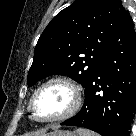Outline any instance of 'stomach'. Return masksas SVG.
<instances>
[{"label":"stomach","instance_id":"0dacf381","mask_svg":"<svg viewBox=\"0 0 136 136\" xmlns=\"http://www.w3.org/2000/svg\"><path fill=\"white\" fill-rule=\"evenodd\" d=\"M48 136H76L73 132L70 131H55L51 132Z\"/></svg>","mask_w":136,"mask_h":136}]
</instances>
